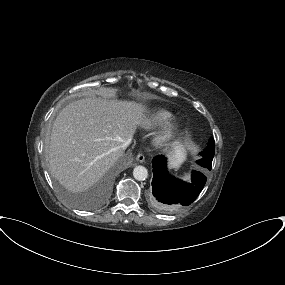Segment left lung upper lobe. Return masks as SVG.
I'll use <instances>...</instances> for the list:
<instances>
[{"label": "left lung upper lobe", "mask_w": 285, "mask_h": 285, "mask_svg": "<svg viewBox=\"0 0 285 285\" xmlns=\"http://www.w3.org/2000/svg\"><path fill=\"white\" fill-rule=\"evenodd\" d=\"M214 153H215V143L214 139L211 138L209 140L207 148L200 153L202 158L198 161V164L204 168L211 169Z\"/></svg>", "instance_id": "1"}]
</instances>
